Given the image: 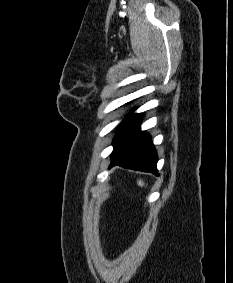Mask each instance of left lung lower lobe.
Here are the masks:
<instances>
[{"label":"left lung lower lobe","instance_id":"obj_1","mask_svg":"<svg viewBox=\"0 0 233 283\" xmlns=\"http://www.w3.org/2000/svg\"><path fill=\"white\" fill-rule=\"evenodd\" d=\"M141 120L142 114H130L121 122L113 142L109 168L118 165L158 176L156 150L151 137L140 130Z\"/></svg>","mask_w":233,"mask_h":283}]
</instances>
